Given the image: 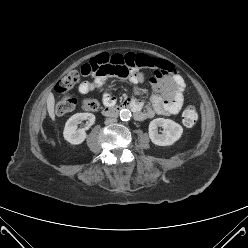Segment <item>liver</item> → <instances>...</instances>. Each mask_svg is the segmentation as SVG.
Returning a JSON list of instances; mask_svg holds the SVG:
<instances>
[{
  "label": "liver",
  "mask_w": 248,
  "mask_h": 248,
  "mask_svg": "<svg viewBox=\"0 0 248 248\" xmlns=\"http://www.w3.org/2000/svg\"><path fill=\"white\" fill-rule=\"evenodd\" d=\"M54 106H55V98H54V95L52 93H50L48 96V99H47V110H48L50 118L53 121H55Z\"/></svg>",
  "instance_id": "obj_1"
}]
</instances>
